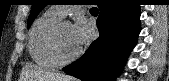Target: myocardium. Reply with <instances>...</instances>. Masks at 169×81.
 I'll return each instance as SVG.
<instances>
[{"instance_id":"obj_1","label":"myocardium","mask_w":169,"mask_h":81,"mask_svg":"<svg viewBox=\"0 0 169 81\" xmlns=\"http://www.w3.org/2000/svg\"><path fill=\"white\" fill-rule=\"evenodd\" d=\"M64 22H59L55 28L53 29L52 36H51V52L60 65L68 64L74 61L81 53V49L78 48L73 54L70 56H64L60 50L59 46V33L60 28Z\"/></svg>"}]
</instances>
